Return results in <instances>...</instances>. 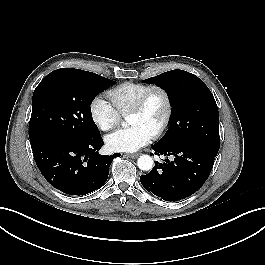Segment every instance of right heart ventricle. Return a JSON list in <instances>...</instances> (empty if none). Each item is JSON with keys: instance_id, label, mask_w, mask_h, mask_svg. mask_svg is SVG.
<instances>
[{"instance_id": "1", "label": "right heart ventricle", "mask_w": 265, "mask_h": 265, "mask_svg": "<svg viewBox=\"0 0 265 265\" xmlns=\"http://www.w3.org/2000/svg\"><path fill=\"white\" fill-rule=\"evenodd\" d=\"M152 85L138 82H126L108 92L113 106L120 114H127L142 94Z\"/></svg>"}]
</instances>
